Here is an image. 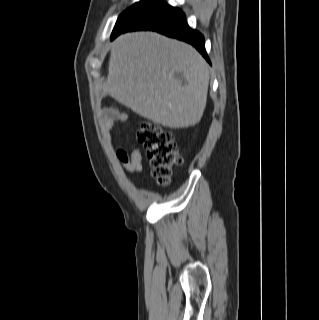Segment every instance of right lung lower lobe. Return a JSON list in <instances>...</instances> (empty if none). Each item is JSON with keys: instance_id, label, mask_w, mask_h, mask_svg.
<instances>
[{"instance_id": "1", "label": "right lung lower lobe", "mask_w": 319, "mask_h": 320, "mask_svg": "<svg viewBox=\"0 0 319 320\" xmlns=\"http://www.w3.org/2000/svg\"><path fill=\"white\" fill-rule=\"evenodd\" d=\"M135 30H154L190 43L210 63L205 50L204 37L201 33L192 30L188 26L184 13L177 8L170 7L167 10L148 17L131 28L113 30L111 39H114L121 33Z\"/></svg>"}]
</instances>
